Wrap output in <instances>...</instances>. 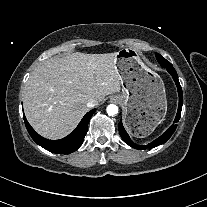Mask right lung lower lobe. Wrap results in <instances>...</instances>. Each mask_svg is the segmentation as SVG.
<instances>
[{"label":"right lung lower lobe","mask_w":207,"mask_h":207,"mask_svg":"<svg viewBox=\"0 0 207 207\" xmlns=\"http://www.w3.org/2000/svg\"><path fill=\"white\" fill-rule=\"evenodd\" d=\"M94 112L95 109L89 111L80 121L76 129L67 137L54 141L45 139L36 133L26 120L25 116L24 121L30 136L38 145L53 153L68 154L76 151L81 146L87 133L88 122Z\"/></svg>","instance_id":"obj_1"}]
</instances>
